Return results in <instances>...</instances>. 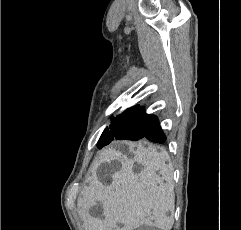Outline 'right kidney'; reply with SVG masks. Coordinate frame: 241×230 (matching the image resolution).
Returning a JSON list of instances; mask_svg holds the SVG:
<instances>
[{
    "instance_id": "1",
    "label": "right kidney",
    "mask_w": 241,
    "mask_h": 230,
    "mask_svg": "<svg viewBox=\"0 0 241 230\" xmlns=\"http://www.w3.org/2000/svg\"><path fill=\"white\" fill-rule=\"evenodd\" d=\"M167 193H168V195H171V194H172V192H171L170 190H169Z\"/></svg>"
}]
</instances>
